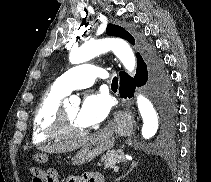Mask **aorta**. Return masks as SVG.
Masks as SVG:
<instances>
[{"label":"aorta","instance_id":"aorta-1","mask_svg":"<svg viewBox=\"0 0 211 182\" xmlns=\"http://www.w3.org/2000/svg\"><path fill=\"white\" fill-rule=\"evenodd\" d=\"M113 51L125 69L133 74L136 68V58L129 44L119 38H104L90 40L75 48L69 55L72 64L86 62L102 53ZM137 105L143 119L142 136L145 139L153 137L159 127V115L151 101L142 95L137 97Z\"/></svg>","mask_w":211,"mask_h":182}]
</instances>
